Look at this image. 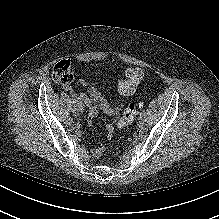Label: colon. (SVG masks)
<instances>
[{
    "mask_svg": "<svg viewBox=\"0 0 219 219\" xmlns=\"http://www.w3.org/2000/svg\"><path fill=\"white\" fill-rule=\"evenodd\" d=\"M54 80L60 84H68L73 78V69L70 60L63 59L55 64L52 72ZM143 73L139 68H131L126 73V78L118 83L117 90L122 96L132 95L137 86L139 85ZM138 104L135 101L129 102L124 108L120 118L115 121V125L119 129H123L130 125L136 116ZM102 109L105 112L113 113L112 109L108 105H103ZM94 112L89 114V121L92 122L94 119ZM114 125L108 126L109 132L113 130Z\"/></svg>",
    "mask_w": 219,
    "mask_h": 219,
    "instance_id": "colon-1",
    "label": "colon"
}]
</instances>
